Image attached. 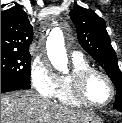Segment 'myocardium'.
I'll list each match as a JSON object with an SVG mask.
<instances>
[{"mask_svg":"<svg viewBox=\"0 0 122 123\" xmlns=\"http://www.w3.org/2000/svg\"><path fill=\"white\" fill-rule=\"evenodd\" d=\"M95 75H99L103 77L110 86L111 95L106 102L96 103L90 100L87 96V93H86L87 85L90 79ZM71 93L73 97L77 101H79L81 104L85 106H89V107L101 108V107L107 106L109 103L112 102V100L115 97L116 90H115V85L108 74H106L105 72L99 69L90 67V68L83 69L73 75L71 80Z\"/></svg>","mask_w":122,"mask_h":123,"instance_id":"f54148a6","label":"myocardium"}]
</instances>
